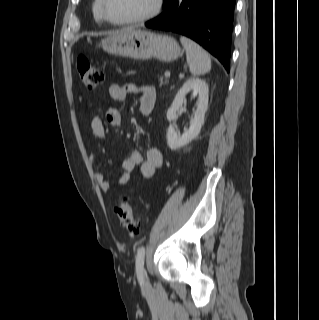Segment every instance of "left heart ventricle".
I'll return each mask as SVG.
<instances>
[{
    "instance_id": "obj_1",
    "label": "left heart ventricle",
    "mask_w": 319,
    "mask_h": 320,
    "mask_svg": "<svg viewBox=\"0 0 319 320\" xmlns=\"http://www.w3.org/2000/svg\"><path fill=\"white\" fill-rule=\"evenodd\" d=\"M155 0H106V9L114 20H125L149 13Z\"/></svg>"
}]
</instances>
